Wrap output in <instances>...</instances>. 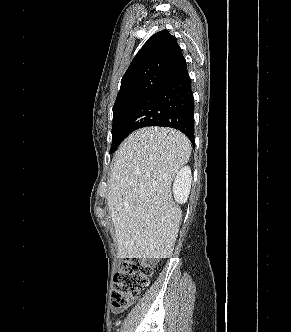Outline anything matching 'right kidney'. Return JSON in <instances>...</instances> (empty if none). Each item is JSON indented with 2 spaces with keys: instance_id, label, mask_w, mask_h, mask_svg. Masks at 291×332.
<instances>
[{
  "instance_id": "obj_1",
  "label": "right kidney",
  "mask_w": 291,
  "mask_h": 332,
  "mask_svg": "<svg viewBox=\"0 0 291 332\" xmlns=\"http://www.w3.org/2000/svg\"><path fill=\"white\" fill-rule=\"evenodd\" d=\"M192 175L188 166L182 168L174 181L173 193L175 200L179 203H185L190 193Z\"/></svg>"
}]
</instances>
